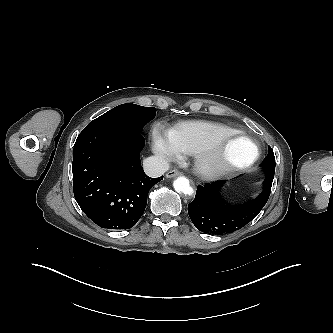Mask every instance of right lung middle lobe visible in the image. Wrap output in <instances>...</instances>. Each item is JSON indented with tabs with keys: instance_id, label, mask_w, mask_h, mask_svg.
I'll return each mask as SVG.
<instances>
[{
	"instance_id": "dd1d6c3e",
	"label": "right lung middle lobe",
	"mask_w": 333,
	"mask_h": 333,
	"mask_svg": "<svg viewBox=\"0 0 333 333\" xmlns=\"http://www.w3.org/2000/svg\"><path fill=\"white\" fill-rule=\"evenodd\" d=\"M156 115L154 107H143L136 104L119 105L91 121L85 129H118L138 131Z\"/></svg>"
}]
</instances>
